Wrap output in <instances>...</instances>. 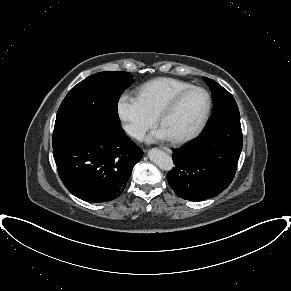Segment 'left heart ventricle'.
Masks as SVG:
<instances>
[{
	"label": "left heart ventricle",
	"mask_w": 291,
	"mask_h": 291,
	"mask_svg": "<svg viewBox=\"0 0 291 291\" xmlns=\"http://www.w3.org/2000/svg\"><path fill=\"white\" fill-rule=\"evenodd\" d=\"M206 104L207 98L202 91L190 92L181 100L174 111L163 119L161 128L170 139L189 134L199 123Z\"/></svg>",
	"instance_id": "b2bd125f"
}]
</instances>
